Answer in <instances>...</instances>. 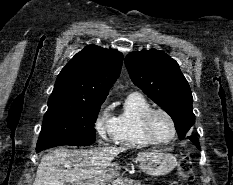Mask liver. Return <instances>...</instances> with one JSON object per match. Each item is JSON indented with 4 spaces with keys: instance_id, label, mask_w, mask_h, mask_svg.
<instances>
[{
    "instance_id": "1",
    "label": "liver",
    "mask_w": 233,
    "mask_h": 185,
    "mask_svg": "<svg viewBox=\"0 0 233 185\" xmlns=\"http://www.w3.org/2000/svg\"><path fill=\"white\" fill-rule=\"evenodd\" d=\"M125 150L123 147L55 150L41 158L33 185H65L96 178ZM64 165L69 167L62 168Z\"/></svg>"
}]
</instances>
